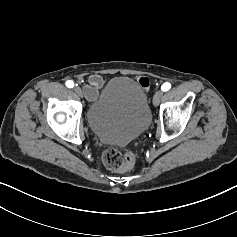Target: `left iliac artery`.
Listing matches in <instances>:
<instances>
[{"mask_svg": "<svg viewBox=\"0 0 237 237\" xmlns=\"http://www.w3.org/2000/svg\"><path fill=\"white\" fill-rule=\"evenodd\" d=\"M171 88V84L166 82L161 86L162 91H168Z\"/></svg>", "mask_w": 237, "mask_h": 237, "instance_id": "1", "label": "left iliac artery"}]
</instances>
